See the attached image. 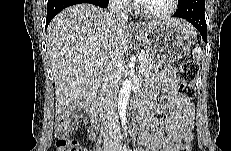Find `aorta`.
I'll return each mask as SVG.
<instances>
[{
	"instance_id": "aorta-1",
	"label": "aorta",
	"mask_w": 231,
	"mask_h": 151,
	"mask_svg": "<svg viewBox=\"0 0 231 151\" xmlns=\"http://www.w3.org/2000/svg\"><path fill=\"white\" fill-rule=\"evenodd\" d=\"M132 81L131 79H126L122 83V87L119 92L118 98V112L121 118V123L124 131H126V111H127V104L129 102V97L131 93Z\"/></svg>"
}]
</instances>
